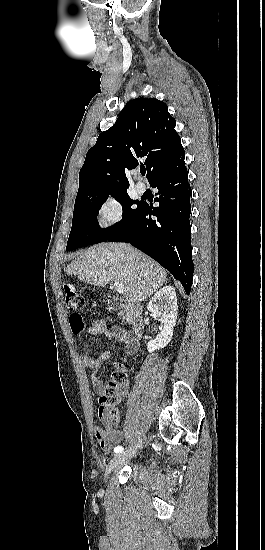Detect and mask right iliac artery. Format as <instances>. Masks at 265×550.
<instances>
[{
	"instance_id": "right-iliac-artery-1",
	"label": "right iliac artery",
	"mask_w": 265,
	"mask_h": 550,
	"mask_svg": "<svg viewBox=\"0 0 265 550\" xmlns=\"http://www.w3.org/2000/svg\"><path fill=\"white\" fill-rule=\"evenodd\" d=\"M122 451H123V447H122V446H116V447L114 448V452H115V453H120V452H122Z\"/></svg>"
}]
</instances>
